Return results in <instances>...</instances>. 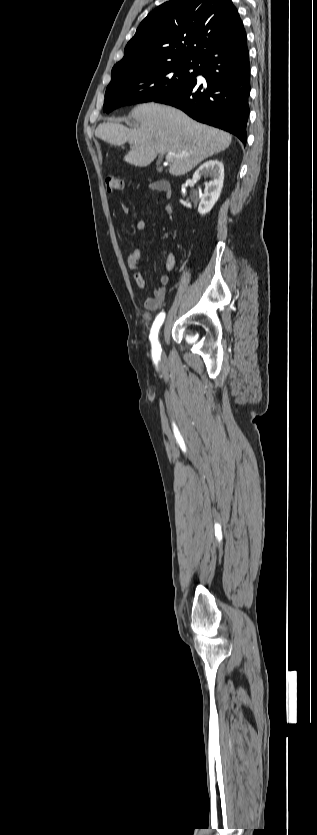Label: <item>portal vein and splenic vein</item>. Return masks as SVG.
I'll return each instance as SVG.
<instances>
[{
    "mask_svg": "<svg viewBox=\"0 0 317 835\" xmlns=\"http://www.w3.org/2000/svg\"><path fill=\"white\" fill-rule=\"evenodd\" d=\"M181 156H183V155H181ZM173 157H175V155H174V154H172V153H168V154L166 155V160H167V161H170Z\"/></svg>",
    "mask_w": 317,
    "mask_h": 835,
    "instance_id": "1",
    "label": "portal vein and splenic vein"
}]
</instances>
